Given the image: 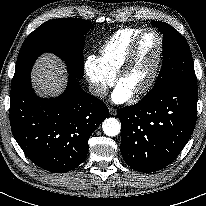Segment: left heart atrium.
<instances>
[{
	"label": "left heart atrium",
	"instance_id": "39dd6f15",
	"mask_svg": "<svg viewBox=\"0 0 206 206\" xmlns=\"http://www.w3.org/2000/svg\"><path fill=\"white\" fill-rule=\"evenodd\" d=\"M132 94L133 92L131 90L119 83L113 91L112 100L114 103L120 104L126 102Z\"/></svg>",
	"mask_w": 206,
	"mask_h": 206
}]
</instances>
